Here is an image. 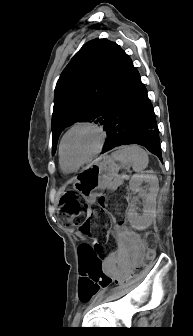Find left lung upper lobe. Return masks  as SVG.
<instances>
[{
  "label": "left lung upper lobe",
  "mask_w": 193,
  "mask_h": 336,
  "mask_svg": "<svg viewBox=\"0 0 193 336\" xmlns=\"http://www.w3.org/2000/svg\"><path fill=\"white\" fill-rule=\"evenodd\" d=\"M127 60V54L107 39H95L86 43L71 59L55 88L53 154L60 133L74 122L104 125Z\"/></svg>",
  "instance_id": "1"
}]
</instances>
